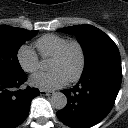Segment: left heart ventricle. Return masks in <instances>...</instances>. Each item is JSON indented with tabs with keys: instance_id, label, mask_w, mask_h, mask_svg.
<instances>
[{
	"instance_id": "left-heart-ventricle-1",
	"label": "left heart ventricle",
	"mask_w": 128,
	"mask_h": 128,
	"mask_svg": "<svg viewBox=\"0 0 128 128\" xmlns=\"http://www.w3.org/2000/svg\"><path fill=\"white\" fill-rule=\"evenodd\" d=\"M80 66V56L76 48L69 51L63 61L51 60L49 69L60 71L67 79L75 75Z\"/></svg>"
}]
</instances>
